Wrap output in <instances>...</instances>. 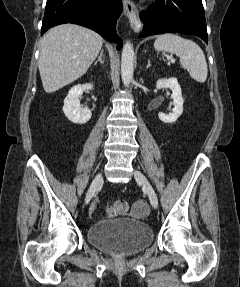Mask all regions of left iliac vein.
Instances as JSON below:
<instances>
[{
  "instance_id": "4c4485c4",
  "label": "left iliac vein",
  "mask_w": 240,
  "mask_h": 287,
  "mask_svg": "<svg viewBox=\"0 0 240 287\" xmlns=\"http://www.w3.org/2000/svg\"><path fill=\"white\" fill-rule=\"evenodd\" d=\"M134 177L143 186V189L146 192V194L148 195V198L150 200L151 205L154 208H157L158 207L157 195H156L153 187L151 186L150 182L145 177V175L141 171L135 170L134 171Z\"/></svg>"
}]
</instances>
